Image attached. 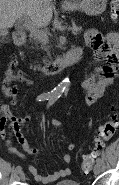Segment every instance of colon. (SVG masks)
<instances>
[{
	"instance_id": "1",
	"label": "colon",
	"mask_w": 119,
	"mask_h": 185,
	"mask_svg": "<svg viewBox=\"0 0 119 185\" xmlns=\"http://www.w3.org/2000/svg\"><path fill=\"white\" fill-rule=\"evenodd\" d=\"M111 17L116 20L119 16V0L110 1ZM118 126L117 116L111 114L108 120L101 126L100 132L96 139V145L92 152L83 158L81 169L83 173L91 171L95 158L99 155L105 144L113 138Z\"/></svg>"
}]
</instances>
